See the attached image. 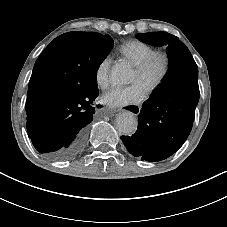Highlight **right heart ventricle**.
<instances>
[{
    "mask_svg": "<svg viewBox=\"0 0 227 227\" xmlns=\"http://www.w3.org/2000/svg\"><path fill=\"white\" fill-rule=\"evenodd\" d=\"M154 48L141 40L132 39L124 42L118 48V52L128 61L132 67L138 66L146 57H148Z\"/></svg>",
    "mask_w": 227,
    "mask_h": 227,
    "instance_id": "right-heart-ventricle-1",
    "label": "right heart ventricle"
}]
</instances>
